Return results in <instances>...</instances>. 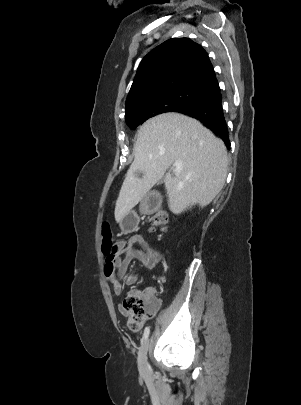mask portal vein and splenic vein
<instances>
[{"label": "portal vein and splenic vein", "mask_w": 301, "mask_h": 405, "mask_svg": "<svg viewBox=\"0 0 301 405\" xmlns=\"http://www.w3.org/2000/svg\"><path fill=\"white\" fill-rule=\"evenodd\" d=\"M181 165V163L179 162V161H176L175 163H174V166L175 167H179Z\"/></svg>", "instance_id": "obj_1"}]
</instances>
